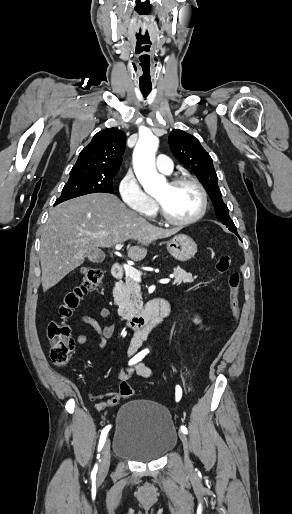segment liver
Wrapping results in <instances>:
<instances>
[{
  "label": "liver",
  "instance_id": "1",
  "mask_svg": "<svg viewBox=\"0 0 292 514\" xmlns=\"http://www.w3.org/2000/svg\"><path fill=\"white\" fill-rule=\"evenodd\" d=\"M177 232L179 228L163 230L152 226L113 194H87L63 202L50 210L41 232L42 288L47 292L97 248H112L126 240H138V244L148 246ZM146 254V248L140 246L128 250L133 262L144 260Z\"/></svg>",
  "mask_w": 292,
  "mask_h": 514
}]
</instances>
